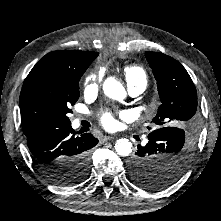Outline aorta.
I'll use <instances>...</instances> for the list:
<instances>
[{"label":"aorta","mask_w":221,"mask_h":221,"mask_svg":"<svg viewBox=\"0 0 221 221\" xmlns=\"http://www.w3.org/2000/svg\"><path fill=\"white\" fill-rule=\"evenodd\" d=\"M103 90L106 96L116 100H123L126 92L123 85L114 77H109L104 81ZM116 153L120 156H128L132 152V143L122 138L115 143Z\"/></svg>","instance_id":"aorta-1"}]
</instances>
